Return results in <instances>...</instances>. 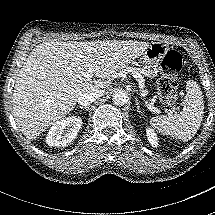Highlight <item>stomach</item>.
<instances>
[{"label": "stomach", "mask_w": 215, "mask_h": 215, "mask_svg": "<svg viewBox=\"0 0 215 215\" xmlns=\"http://www.w3.org/2000/svg\"><path fill=\"white\" fill-rule=\"evenodd\" d=\"M169 51L170 48L167 44L153 42L142 53L139 63L150 69L151 77H155L160 71L161 61Z\"/></svg>", "instance_id": "1"}]
</instances>
